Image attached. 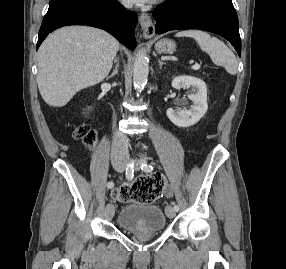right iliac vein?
I'll return each instance as SVG.
<instances>
[{
  "label": "right iliac vein",
  "instance_id": "obj_1",
  "mask_svg": "<svg viewBox=\"0 0 286 269\" xmlns=\"http://www.w3.org/2000/svg\"><path fill=\"white\" fill-rule=\"evenodd\" d=\"M119 171H123V168H120ZM115 213V208L112 204H107L105 207V217L107 219H112Z\"/></svg>",
  "mask_w": 286,
  "mask_h": 269
}]
</instances>
